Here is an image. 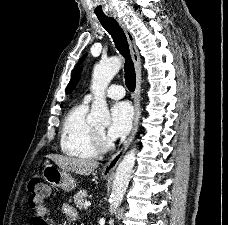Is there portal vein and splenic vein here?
<instances>
[{
	"mask_svg": "<svg viewBox=\"0 0 228 225\" xmlns=\"http://www.w3.org/2000/svg\"><path fill=\"white\" fill-rule=\"evenodd\" d=\"M89 205H91V203H84L85 209H86V207H89Z\"/></svg>",
	"mask_w": 228,
	"mask_h": 225,
	"instance_id": "18ae733b",
	"label": "portal vein and splenic vein"
}]
</instances>
